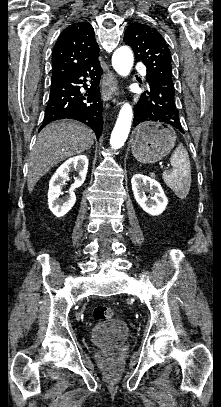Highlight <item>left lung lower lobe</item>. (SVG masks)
<instances>
[{"instance_id": "1", "label": "left lung lower lobe", "mask_w": 221, "mask_h": 407, "mask_svg": "<svg viewBox=\"0 0 221 407\" xmlns=\"http://www.w3.org/2000/svg\"><path fill=\"white\" fill-rule=\"evenodd\" d=\"M144 121L163 122L184 133L175 103L174 86L159 80L148 82L147 91L134 107V126Z\"/></svg>"}]
</instances>
